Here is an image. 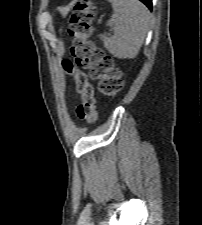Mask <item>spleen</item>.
<instances>
[{"label":"spleen","mask_w":202,"mask_h":225,"mask_svg":"<svg viewBox=\"0 0 202 225\" xmlns=\"http://www.w3.org/2000/svg\"><path fill=\"white\" fill-rule=\"evenodd\" d=\"M113 14L107 25L112 27L111 37L100 35L104 47L114 57L131 59L137 56L146 37L151 15L139 0H108Z\"/></svg>","instance_id":"1"}]
</instances>
